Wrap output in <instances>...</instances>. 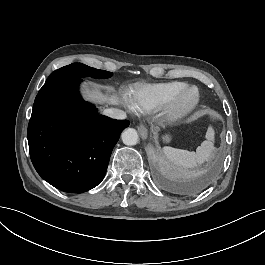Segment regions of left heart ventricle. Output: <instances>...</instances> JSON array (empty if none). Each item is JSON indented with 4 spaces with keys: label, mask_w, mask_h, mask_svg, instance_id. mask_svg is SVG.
<instances>
[{
    "label": "left heart ventricle",
    "mask_w": 265,
    "mask_h": 265,
    "mask_svg": "<svg viewBox=\"0 0 265 265\" xmlns=\"http://www.w3.org/2000/svg\"><path fill=\"white\" fill-rule=\"evenodd\" d=\"M193 95H194V92H193V91H190V92L187 94L186 99H187V100H190V99L193 97Z\"/></svg>",
    "instance_id": "obj_1"
}]
</instances>
